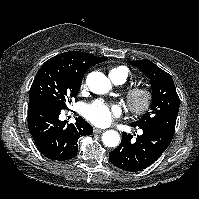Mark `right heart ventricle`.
<instances>
[{
    "mask_svg": "<svg viewBox=\"0 0 199 199\" xmlns=\"http://www.w3.org/2000/svg\"><path fill=\"white\" fill-rule=\"evenodd\" d=\"M109 76L114 83L124 84L129 76V70L125 66L112 67Z\"/></svg>",
    "mask_w": 199,
    "mask_h": 199,
    "instance_id": "right-heart-ventricle-1",
    "label": "right heart ventricle"
}]
</instances>
